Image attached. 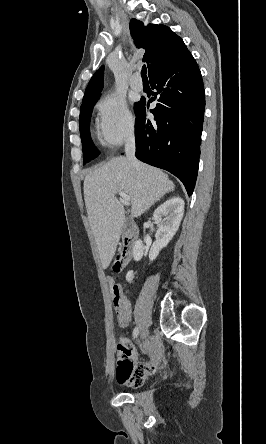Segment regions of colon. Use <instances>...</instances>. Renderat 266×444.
<instances>
[{
  "instance_id": "colon-1",
  "label": "colon",
  "mask_w": 266,
  "mask_h": 444,
  "mask_svg": "<svg viewBox=\"0 0 266 444\" xmlns=\"http://www.w3.org/2000/svg\"><path fill=\"white\" fill-rule=\"evenodd\" d=\"M124 293L120 284H113L112 286V303L114 308H118L122 305L124 300Z\"/></svg>"
}]
</instances>
